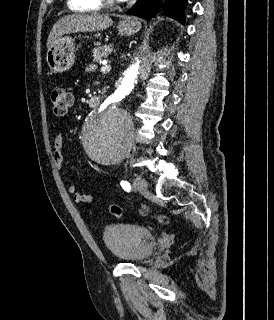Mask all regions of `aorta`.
<instances>
[{"mask_svg": "<svg viewBox=\"0 0 274 320\" xmlns=\"http://www.w3.org/2000/svg\"><path fill=\"white\" fill-rule=\"evenodd\" d=\"M140 61L137 59L124 73L116 90L85 121L81 142L87 156L97 163L118 162L132 145L133 124L123 108L134 88Z\"/></svg>", "mask_w": 274, "mask_h": 320, "instance_id": "aorta-1", "label": "aorta"}]
</instances>
